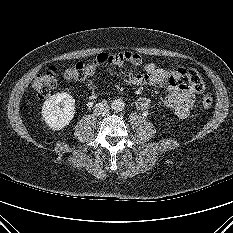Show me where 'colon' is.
Here are the masks:
<instances>
[{
    "mask_svg": "<svg viewBox=\"0 0 233 233\" xmlns=\"http://www.w3.org/2000/svg\"><path fill=\"white\" fill-rule=\"evenodd\" d=\"M111 61L112 58L109 54H100L87 64L77 63L70 66L65 70L64 75L67 79L70 80H85L94 74L99 68L108 66ZM186 77L188 79L189 85L195 92L200 93L203 91L204 81L196 70L190 69L186 71ZM56 84V69L50 68L38 74L33 79L31 87L39 97L45 98L50 95ZM212 104L213 99L211 96L205 95L202 98V105L205 109L211 108Z\"/></svg>",
    "mask_w": 233,
    "mask_h": 233,
    "instance_id": "1",
    "label": "colon"
}]
</instances>
